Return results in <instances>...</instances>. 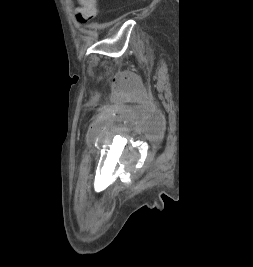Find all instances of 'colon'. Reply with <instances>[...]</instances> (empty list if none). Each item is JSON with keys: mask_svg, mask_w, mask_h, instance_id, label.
<instances>
[{"mask_svg": "<svg viewBox=\"0 0 253 267\" xmlns=\"http://www.w3.org/2000/svg\"><path fill=\"white\" fill-rule=\"evenodd\" d=\"M80 6L75 14L79 21L85 23L92 20L97 14L96 0H78Z\"/></svg>", "mask_w": 253, "mask_h": 267, "instance_id": "colon-1", "label": "colon"}]
</instances>
